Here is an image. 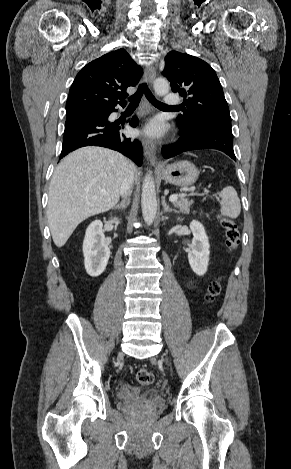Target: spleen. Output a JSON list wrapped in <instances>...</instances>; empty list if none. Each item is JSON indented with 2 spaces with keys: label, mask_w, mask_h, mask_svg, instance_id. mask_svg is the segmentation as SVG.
<instances>
[{
  "label": "spleen",
  "mask_w": 291,
  "mask_h": 469,
  "mask_svg": "<svg viewBox=\"0 0 291 469\" xmlns=\"http://www.w3.org/2000/svg\"><path fill=\"white\" fill-rule=\"evenodd\" d=\"M221 197V214L230 218H237L241 211V204L236 190L228 186L224 188L220 195Z\"/></svg>",
  "instance_id": "obj_1"
}]
</instances>
